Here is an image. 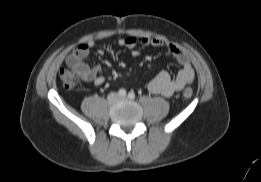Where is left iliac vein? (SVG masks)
<instances>
[{"label":"left iliac vein","mask_w":261,"mask_h":182,"mask_svg":"<svg viewBox=\"0 0 261 182\" xmlns=\"http://www.w3.org/2000/svg\"><path fill=\"white\" fill-rule=\"evenodd\" d=\"M120 99H125V97H120Z\"/></svg>","instance_id":"left-iliac-vein-1"}]
</instances>
